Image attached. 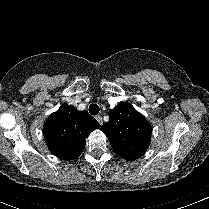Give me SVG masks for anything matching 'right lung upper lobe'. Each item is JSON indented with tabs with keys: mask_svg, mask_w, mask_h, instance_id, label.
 Here are the masks:
<instances>
[{
	"mask_svg": "<svg viewBox=\"0 0 209 209\" xmlns=\"http://www.w3.org/2000/svg\"><path fill=\"white\" fill-rule=\"evenodd\" d=\"M97 128H100L99 122L87 111L64 104L48 117L43 135L53 155L73 160L84 150L86 137Z\"/></svg>",
	"mask_w": 209,
	"mask_h": 209,
	"instance_id": "cb5924a9",
	"label": "right lung upper lobe"
}]
</instances>
